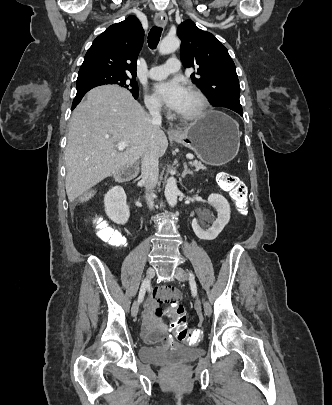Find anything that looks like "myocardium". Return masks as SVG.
<instances>
[{"label":"myocardium","mask_w":332,"mask_h":405,"mask_svg":"<svg viewBox=\"0 0 332 405\" xmlns=\"http://www.w3.org/2000/svg\"><path fill=\"white\" fill-rule=\"evenodd\" d=\"M187 91H189L190 93H192L198 100L199 102V106L197 108V110L188 116H181V115H177V117L182 120V121H186V122H192V121H196L199 120L206 112L207 108H208V100L206 95L196 86L193 85H189L187 86Z\"/></svg>","instance_id":"myocardium-1"}]
</instances>
